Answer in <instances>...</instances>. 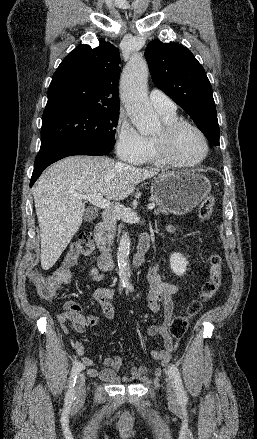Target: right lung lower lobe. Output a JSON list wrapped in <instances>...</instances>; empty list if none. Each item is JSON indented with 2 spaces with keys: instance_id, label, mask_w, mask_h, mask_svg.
<instances>
[{
  "instance_id": "98d812e1",
  "label": "right lung lower lobe",
  "mask_w": 257,
  "mask_h": 439,
  "mask_svg": "<svg viewBox=\"0 0 257 439\" xmlns=\"http://www.w3.org/2000/svg\"><path fill=\"white\" fill-rule=\"evenodd\" d=\"M112 149V146L84 141L60 142L41 148L35 159V167L30 181V186L34 184L47 166L64 157L71 155H106Z\"/></svg>"
}]
</instances>
